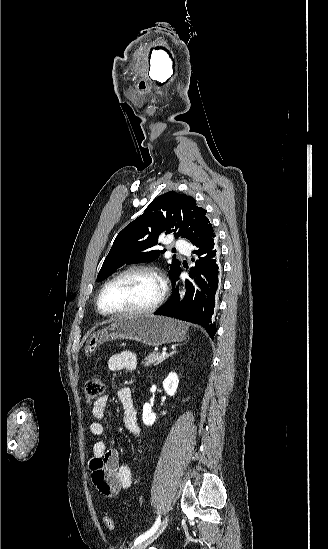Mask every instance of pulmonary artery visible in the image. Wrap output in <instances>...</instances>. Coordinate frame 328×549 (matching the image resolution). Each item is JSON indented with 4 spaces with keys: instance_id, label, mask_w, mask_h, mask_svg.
I'll use <instances>...</instances> for the list:
<instances>
[{
    "instance_id": "e3ab8cb5",
    "label": "pulmonary artery",
    "mask_w": 328,
    "mask_h": 549,
    "mask_svg": "<svg viewBox=\"0 0 328 549\" xmlns=\"http://www.w3.org/2000/svg\"><path fill=\"white\" fill-rule=\"evenodd\" d=\"M170 248L173 252H181L184 248V245L181 241H173L170 245Z\"/></svg>"
}]
</instances>
